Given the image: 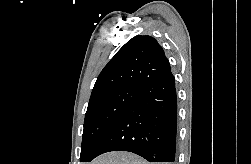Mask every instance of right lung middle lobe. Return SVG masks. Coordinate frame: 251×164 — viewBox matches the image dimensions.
<instances>
[{
    "instance_id": "right-lung-middle-lobe-1",
    "label": "right lung middle lobe",
    "mask_w": 251,
    "mask_h": 164,
    "mask_svg": "<svg viewBox=\"0 0 251 164\" xmlns=\"http://www.w3.org/2000/svg\"><path fill=\"white\" fill-rule=\"evenodd\" d=\"M140 88L122 87L90 99L84 121L80 161L91 154L100 138L139 96Z\"/></svg>"
}]
</instances>
